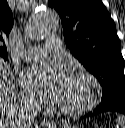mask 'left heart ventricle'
Here are the masks:
<instances>
[{
  "label": "left heart ventricle",
  "instance_id": "b2bd125f",
  "mask_svg": "<svg viewBox=\"0 0 125 128\" xmlns=\"http://www.w3.org/2000/svg\"><path fill=\"white\" fill-rule=\"evenodd\" d=\"M89 92V87L85 82L72 78L62 104L66 106H76L86 100Z\"/></svg>",
  "mask_w": 125,
  "mask_h": 128
}]
</instances>
